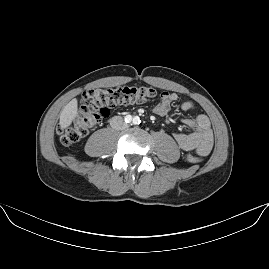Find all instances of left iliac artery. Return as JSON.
<instances>
[{
  "label": "left iliac artery",
  "mask_w": 269,
  "mask_h": 269,
  "mask_svg": "<svg viewBox=\"0 0 269 269\" xmlns=\"http://www.w3.org/2000/svg\"><path fill=\"white\" fill-rule=\"evenodd\" d=\"M140 122H141V120H140V118H139L138 116H135V117L133 118V124H134V125H138V124H140Z\"/></svg>",
  "instance_id": "left-iliac-artery-1"
}]
</instances>
